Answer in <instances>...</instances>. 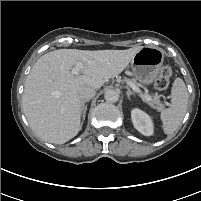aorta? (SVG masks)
<instances>
[{
	"label": "aorta",
	"instance_id": "1",
	"mask_svg": "<svg viewBox=\"0 0 201 201\" xmlns=\"http://www.w3.org/2000/svg\"><path fill=\"white\" fill-rule=\"evenodd\" d=\"M104 98L109 103H114L119 100V93L116 90L108 89L105 94Z\"/></svg>",
	"mask_w": 201,
	"mask_h": 201
}]
</instances>
